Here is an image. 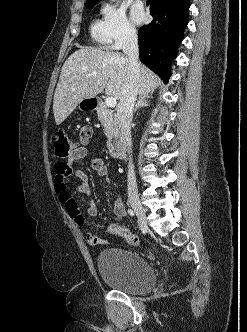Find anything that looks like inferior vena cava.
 <instances>
[{
	"instance_id": "602c4592",
	"label": "inferior vena cava",
	"mask_w": 247,
	"mask_h": 332,
	"mask_svg": "<svg viewBox=\"0 0 247 332\" xmlns=\"http://www.w3.org/2000/svg\"><path fill=\"white\" fill-rule=\"evenodd\" d=\"M122 50L128 58L129 82L126 85V89L118 104L117 119L124 146L127 148V151L130 154L132 153V137L130 124L132 120L134 104L138 95V81L140 78V63L138 61V38L135 29H128L126 31ZM127 179L129 200L138 199L137 183L131 155L129 159Z\"/></svg>"
}]
</instances>
